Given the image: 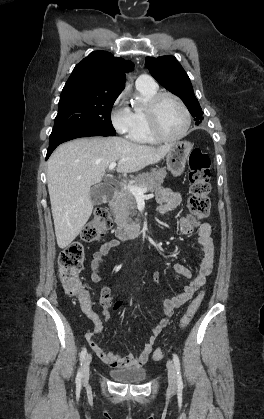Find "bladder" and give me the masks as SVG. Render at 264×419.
<instances>
[{
	"instance_id": "31cf9c89",
	"label": "bladder",
	"mask_w": 264,
	"mask_h": 419,
	"mask_svg": "<svg viewBox=\"0 0 264 419\" xmlns=\"http://www.w3.org/2000/svg\"><path fill=\"white\" fill-rule=\"evenodd\" d=\"M110 377L120 383H142L147 379V371L142 367H128L109 370Z\"/></svg>"
}]
</instances>
